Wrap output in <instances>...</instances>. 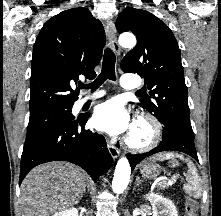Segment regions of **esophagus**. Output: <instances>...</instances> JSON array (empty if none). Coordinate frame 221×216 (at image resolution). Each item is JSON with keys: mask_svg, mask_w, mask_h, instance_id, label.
<instances>
[{"mask_svg": "<svg viewBox=\"0 0 221 216\" xmlns=\"http://www.w3.org/2000/svg\"><path fill=\"white\" fill-rule=\"evenodd\" d=\"M106 34L109 41V46L113 49V51L118 54L120 51V47L117 41L116 28L113 21H108L106 26ZM107 148L110 155L116 159L120 155L119 149L113 145L109 140H107Z\"/></svg>", "mask_w": 221, "mask_h": 216, "instance_id": "obj_1", "label": "esophagus"}]
</instances>
